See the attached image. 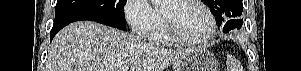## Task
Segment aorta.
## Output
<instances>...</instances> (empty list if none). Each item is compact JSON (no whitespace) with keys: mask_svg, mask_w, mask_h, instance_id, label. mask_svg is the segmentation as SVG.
<instances>
[{"mask_svg":"<svg viewBox=\"0 0 301 71\" xmlns=\"http://www.w3.org/2000/svg\"><path fill=\"white\" fill-rule=\"evenodd\" d=\"M152 4L156 7L164 6L168 0H151Z\"/></svg>","mask_w":301,"mask_h":71,"instance_id":"1","label":"aorta"}]
</instances>
